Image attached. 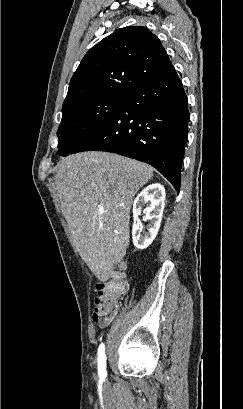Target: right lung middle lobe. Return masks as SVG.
Segmentation results:
<instances>
[{"label":"right lung middle lobe","instance_id":"1","mask_svg":"<svg viewBox=\"0 0 243 409\" xmlns=\"http://www.w3.org/2000/svg\"><path fill=\"white\" fill-rule=\"evenodd\" d=\"M126 97L97 98L62 108L58 129V155L67 156L85 140L99 132L118 112Z\"/></svg>","mask_w":243,"mask_h":409}]
</instances>
